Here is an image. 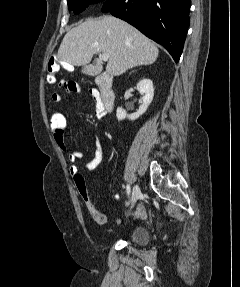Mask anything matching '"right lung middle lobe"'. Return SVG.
Segmentation results:
<instances>
[{
    "label": "right lung middle lobe",
    "instance_id": "1",
    "mask_svg": "<svg viewBox=\"0 0 240 287\" xmlns=\"http://www.w3.org/2000/svg\"><path fill=\"white\" fill-rule=\"evenodd\" d=\"M106 0H67L69 10L75 14L82 12L88 5L105 2Z\"/></svg>",
    "mask_w": 240,
    "mask_h": 287
}]
</instances>
